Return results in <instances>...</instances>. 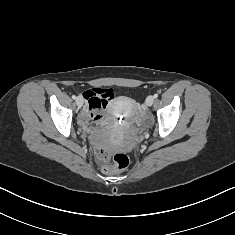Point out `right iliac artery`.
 <instances>
[{"instance_id":"1","label":"right iliac artery","mask_w":235,"mask_h":235,"mask_svg":"<svg viewBox=\"0 0 235 235\" xmlns=\"http://www.w3.org/2000/svg\"><path fill=\"white\" fill-rule=\"evenodd\" d=\"M72 98H73V99H76V96H75V95H72Z\"/></svg>"}]
</instances>
